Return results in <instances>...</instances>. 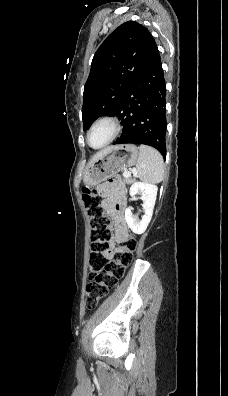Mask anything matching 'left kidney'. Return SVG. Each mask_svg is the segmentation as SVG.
Wrapping results in <instances>:
<instances>
[{
  "mask_svg": "<svg viewBox=\"0 0 228 396\" xmlns=\"http://www.w3.org/2000/svg\"><path fill=\"white\" fill-rule=\"evenodd\" d=\"M157 191L158 188L156 185L145 182H134L130 187V195L133 197L136 194H141V199L143 200L142 207L144 214L141 220L133 216L131 207H128L125 210V220L127 225L135 234H142L150 223L155 206Z\"/></svg>",
  "mask_w": 228,
  "mask_h": 396,
  "instance_id": "left-kidney-1",
  "label": "left kidney"
}]
</instances>
